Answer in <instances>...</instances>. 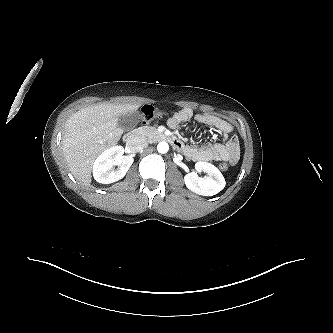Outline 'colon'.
Instances as JSON below:
<instances>
[{
    "instance_id": "1",
    "label": "colon",
    "mask_w": 333,
    "mask_h": 333,
    "mask_svg": "<svg viewBox=\"0 0 333 333\" xmlns=\"http://www.w3.org/2000/svg\"><path fill=\"white\" fill-rule=\"evenodd\" d=\"M166 114L165 111L157 110L152 106H144L141 110V121L142 123L147 124L153 119L160 118ZM219 169L226 172L228 170V164L226 162L220 163Z\"/></svg>"
}]
</instances>
